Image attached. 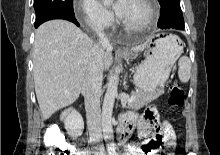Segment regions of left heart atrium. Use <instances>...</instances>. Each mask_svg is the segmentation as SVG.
I'll use <instances>...</instances> for the list:
<instances>
[{
	"mask_svg": "<svg viewBox=\"0 0 220 155\" xmlns=\"http://www.w3.org/2000/svg\"><path fill=\"white\" fill-rule=\"evenodd\" d=\"M128 2H129V0H118L115 3L114 9L119 17L122 18V16L124 15L126 8H127V5H128Z\"/></svg>",
	"mask_w": 220,
	"mask_h": 155,
	"instance_id": "left-heart-atrium-1",
	"label": "left heart atrium"
}]
</instances>
